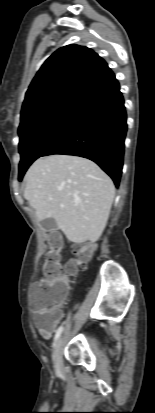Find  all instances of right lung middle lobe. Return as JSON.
Here are the masks:
<instances>
[{
	"label": "right lung middle lobe",
	"instance_id": "1",
	"mask_svg": "<svg viewBox=\"0 0 155 413\" xmlns=\"http://www.w3.org/2000/svg\"><path fill=\"white\" fill-rule=\"evenodd\" d=\"M78 104L54 108L19 127V180L28 167L52 145L69 123Z\"/></svg>",
	"mask_w": 155,
	"mask_h": 413
}]
</instances>
